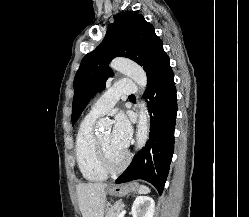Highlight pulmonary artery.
<instances>
[{"instance_id": "obj_1", "label": "pulmonary artery", "mask_w": 249, "mask_h": 217, "mask_svg": "<svg viewBox=\"0 0 249 217\" xmlns=\"http://www.w3.org/2000/svg\"><path fill=\"white\" fill-rule=\"evenodd\" d=\"M139 92V88L132 80H124L109 88L91 107L89 114L92 117H99L109 112L117 101Z\"/></svg>"}]
</instances>
